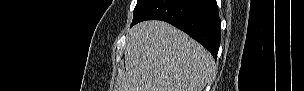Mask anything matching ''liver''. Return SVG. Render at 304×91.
<instances>
[{
	"mask_svg": "<svg viewBox=\"0 0 304 91\" xmlns=\"http://www.w3.org/2000/svg\"><path fill=\"white\" fill-rule=\"evenodd\" d=\"M125 75L117 91H203L215 71L211 54L162 21H144L128 33Z\"/></svg>",
	"mask_w": 304,
	"mask_h": 91,
	"instance_id": "1",
	"label": "liver"
}]
</instances>
